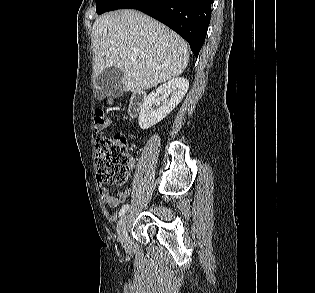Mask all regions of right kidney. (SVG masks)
Masks as SVG:
<instances>
[{
    "label": "right kidney",
    "mask_w": 315,
    "mask_h": 293,
    "mask_svg": "<svg viewBox=\"0 0 315 293\" xmlns=\"http://www.w3.org/2000/svg\"><path fill=\"white\" fill-rule=\"evenodd\" d=\"M189 88V82L184 77H178L161 85L144 100L139 113V126L145 130L163 120L184 98ZM170 96V97H169ZM160 97L162 104L154 110L152 106Z\"/></svg>",
    "instance_id": "1"
}]
</instances>
